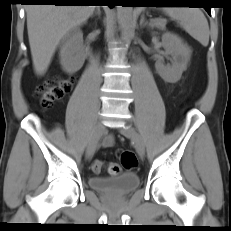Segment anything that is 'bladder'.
Wrapping results in <instances>:
<instances>
[{
  "instance_id": "obj_1",
  "label": "bladder",
  "mask_w": 231,
  "mask_h": 231,
  "mask_svg": "<svg viewBox=\"0 0 231 231\" xmlns=\"http://www.w3.org/2000/svg\"><path fill=\"white\" fill-rule=\"evenodd\" d=\"M91 189L109 196H126L139 185V176L133 172H126L112 177L92 176L88 179Z\"/></svg>"
}]
</instances>
